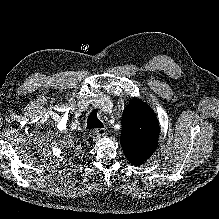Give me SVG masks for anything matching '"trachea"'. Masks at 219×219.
Wrapping results in <instances>:
<instances>
[{"mask_svg": "<svg viewBox=\"0 0 219 219\" xmlns=\"http://www.w3.org/2000/svg\"><path fill=\"white\" fill-rule=\"evenodd\" d=\"M103 127L104 126H103L102 122L97 117L96 110L92 111L87 119V128L94 129V128H103Z\"/></svg>", "mask_w": 219, "mask_h": 219, "instance_id": "trachea-1", "label": "trachea"}]
</instances>
